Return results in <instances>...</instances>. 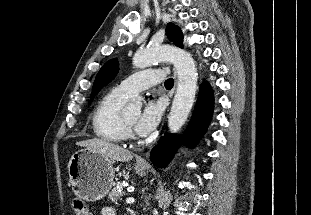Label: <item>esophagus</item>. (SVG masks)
Returning <instances> with one entry per match:
<instances>
[{
  "label": "esophagus",
  "mask_w": 311,
  "mask_h": 215,
  "mask_svg": "<svg viewBox=\"0 0 311 215\" xmlns=\"http://www.w3.org/2000/svg\"><path fill=\"white\" fill-rule=\"evenodd\" d=\"M138 164L139 165H146V162L142 159L138 160Z\"/></svg>",
  "instance_id": "esophagus-1"
}]
</instances>
